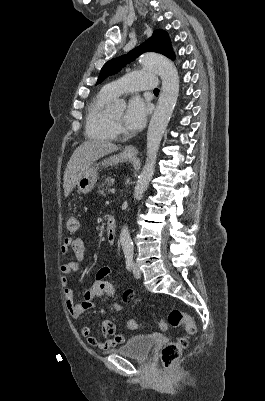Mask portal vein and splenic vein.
<instances>
[{
    "mask_svg": "<svg viewBox=\"0 0 265 401\" xmlns=\"http://www.w3.org/2000/svg\"><path fill=\"white\" fill-rule=\"evenodd\" d=\"M111 192H112V193H115V192H116V189H115L114 187H111Z\"/></svg>",
    "mask_w": 265,
    "mask_h": 401,
    "instance_id": "1",
    "label": "portal vein and splenic vein"
}]
</instances>
